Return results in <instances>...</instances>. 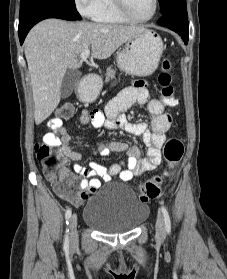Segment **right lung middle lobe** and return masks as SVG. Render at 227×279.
Segmentation results:
<instances>
[{
    "instance_id": "dd1d6c3e",
    "label": "right lung middle lobe",
    "mask_w": 227,
    "mask_h": 279,
    "mask_svg": "<svg viewBox=\"0 0 227 279\" xmlns=\"http://www.w3.org/2000/svg\"><path fill=\"white\" fill-rule=\"evenodd\" d=\"M31 0H20V6L25 5L26 3H28ZM62 3L72 7V8H76L75 6V1L74 0H60Z\"/></svg>"
}]
</instances>
